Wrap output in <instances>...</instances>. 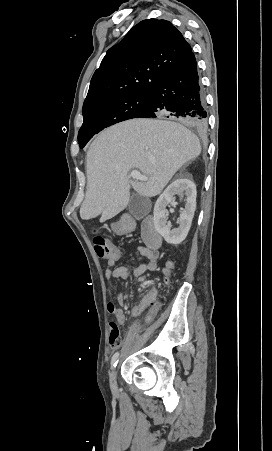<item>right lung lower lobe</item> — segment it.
<instances>
[{"mask_svg": "<svg viewBox=\"0 0 272 451\" xmlns=\"http://www.w3.org/2000/svg\"><path fill=\"white\" fill-rule=\"evenodd\" d=\"M136 118L177 119L194 129H207V111L194 54L149 94L147 108Z\"/></svg>", "mask_w": 272, "mask_h": 451, "instance_id": "right-lung-lower-lobe-1", "label": "right lung lower lobe"}]
</instances>
